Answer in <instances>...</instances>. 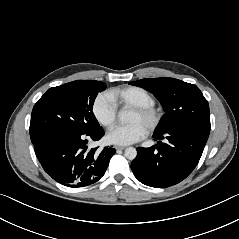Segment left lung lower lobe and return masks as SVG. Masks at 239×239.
Segmentation results:
<instances>
[{
	"mask_svg": "<svg viewBox=\"0 0 239 239\" xmlns=\"http://www.w3.org/2000/svg\"><path fill=\"white\" fill-rule=\"evenodd\" d=\"M210 128L199 125L178 126L154 132L157 144L138 147L131 164L135 177L143 184L166 188L185 179L196 167L207 142ZM166 138V143L162 139Z\"/></svg>",
	"mask_w": 239,
	"mask_h": 239,
	"instance_id": "0a47b994",
	"label": "left lung lower lobe"
}]
</instances>
